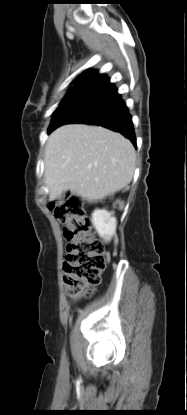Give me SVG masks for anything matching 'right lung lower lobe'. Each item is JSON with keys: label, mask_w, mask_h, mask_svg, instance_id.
Here are the masks:
<instances>
[{"label": "right lung lower lobe", "mask_w": 187, "mask_h": 415, "mask_svg": "<svg viewBox=\"0 0 187 415\" xmlns=\"http://www.w3.org/2000/svg\"><path fill=\"white\" fill-rule=\"evenodd\" d=\"M71 123L95 124L119 132L136 147L132 117L125 102L109 78L97 71L71 90L68 101L54 112L48 132Z\"/></svg>", "instance_id": "1"}]
</instances>
